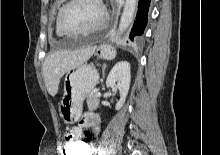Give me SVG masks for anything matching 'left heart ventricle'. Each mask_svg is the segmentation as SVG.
Masks as SVG:
<instances>
[{
	"instance_id": "b2bd125f",
	"label": "left heart ventricle",
	"mask_w": 220,
	"mask_h": 155,
	"mask_svg": "<svg viewBox=\"0 0 220 155\" xmlns=\"http://www.w3.org/2000/svg\"><path fill=\"white\" fill-rule=\"evenodd\" d=\"M102 17L103 10L97 0H78L65 10L62 23L68 30H81L95 26Z\"/></svg>"
}]
</instances>
